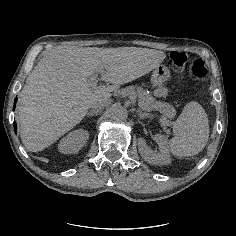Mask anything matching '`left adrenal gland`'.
<instances>
[{
  "label": "left adrenal gland",
  "instance_id": "a2214340",
  "mask_svg": "<svg viewBox=\"0 0 236 236\" xmlns=\"http://www.w3.org/2000/svg\"><path fill=\"white\" fill-rule=\"evenodd\" d=\"M138 115H139L140 119H145L147 117L153 116L152 114L147 113V112H142L141 110H138Z\"/></svg>",
  "mask_w": 236,
  "mask_h": 236
}]
</instances>
